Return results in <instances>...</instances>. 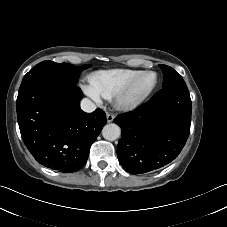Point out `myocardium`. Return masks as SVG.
Listing matches in <instances>:
<instances>
[{
  "mask_svg": "<svg viewBox=\"0 0 227 227\" xmlns=\"http://www.w3.org/2000/svg\"><path fill=\"white\" fill-rule=\"evenodd\" d=\"M152 74L154 75L153 84L140 96L132 97V92L138 83V81L145 75ZM158 83V75L155 71L148 70L142 71L137 76H135L124 88H122L115 95V103L116 105L123 110H133L139 107L142 103H144L147 98L154 91Z\"/></svg>",
  "mask_w": 227,
  "mask_h": 227,
  "instance_id": "f54148a6",
  "label": "myocardium"
}]
</instances>
